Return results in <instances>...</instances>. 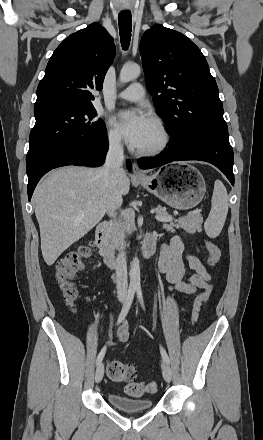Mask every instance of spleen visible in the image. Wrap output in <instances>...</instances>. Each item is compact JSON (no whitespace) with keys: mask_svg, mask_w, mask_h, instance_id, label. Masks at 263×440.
Wrapping results in <instances>:
<instances>
[{"mask_svg":"<svg viewBox=\"0 0 263 440\" xmlns=\"http://www.w3.org/2000/svg\"><path fill=\"white\" fill-rule=\"evenodd\" d=\"M211 203L212 208L205 221L204 229L210 238H216L224 226L229 205L227 190L220 180H216L214 183Z\"/></svg>","mask_w":263,"mask_h":440,"instance_id":"1","label":"spleen"}]
</instances>
